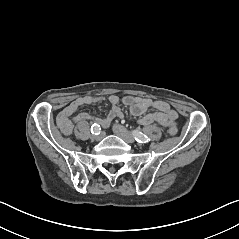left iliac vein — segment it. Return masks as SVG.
<instances>
[{"instance_id":"left-iliac-vein-1","label":"left iliac vein","mask_w":239,"mask_h":239,"mask_svg":"<svg viewBox=\"0 0 239 239\" xmlns=\"http://www.w3.org/2000/svg\"><path fill=\"white\" fill-rule=\"evenodd\" d=\"M113 131L114 133L119 136L120 138H122L124 141H126L127 143H134V137L129 133V131L127 129H125L123 126L119 125V124H114L113 125Z\"/></svg>"}]
</instances>
